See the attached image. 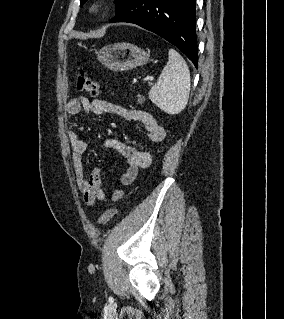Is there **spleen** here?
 Segmentation results:
<instances>
[{
  "label": "spleen",
  "mask_w": 284,
  "mask_h": 319,
  "mask_svg": "<svg viewBox=\"0 0 284 319\" xmlns=\"http://www.w3.org/2000/svg\"><path fill=\"white\" fill-rule=\"evenodd\" d=\"M157 83L149 91L150 100L168 114H178L187 105L190 92V72L181 55L174 49Z\"/></svg>",
  "instance_id": "obj_1"
}]
</instances>
